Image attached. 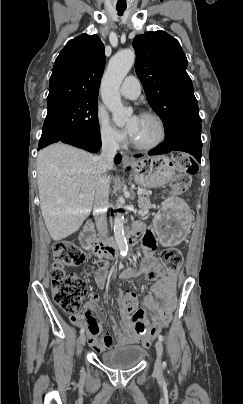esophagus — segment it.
<instances>
[{"label": "esophagus", "mask_w": 243, "mask_h": 404, "mask_svg": "<svg viewBox=\"0 0 243 404\" xmlns=\"http://www.w3.org/2000/svg\"><path fill=\"white\" fill-rule=\"evenodd\" d=\"M132 162H133L132 159L127 154L123 155V164L124 165L131 164Z\"/></svg>", "instance_id": "1"}]
</instances>
